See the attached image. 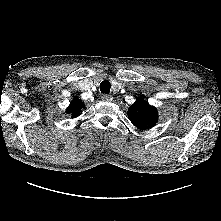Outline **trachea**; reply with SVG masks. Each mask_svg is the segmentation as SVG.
<instances>
[{"label":"trachea","instance_id":"3493384b","mask_svg":"<svg viewBox=\"0 0 221 221\" xmlns=\"http://www.w3.org/2000/svg\"><path fill=\"white\" fill-rule=\"evenodd\" d=\"M110 88H111V84H110L109 81L104 80V81L101 82V84H100L101 93L109 94L110 93Z\"/></svg>","mask_w":221,"mask_h":221}]
</instances>
